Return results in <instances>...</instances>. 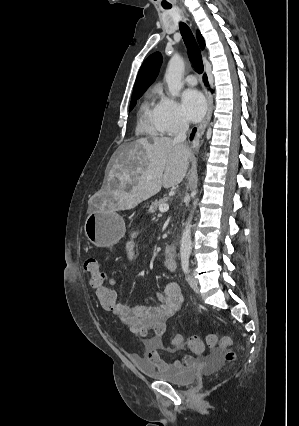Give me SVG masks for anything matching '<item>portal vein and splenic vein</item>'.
<instances>
[{
  "label": "portal vein and splenic vein",
  "mask_w": 299,
  "mask_h": 426,
  "mask_svg": "<svg viewBox=\"0 0 299 426\" xmlns=\"http://www.w3.org/2000/svg\"><path fill=\"white\" fill-rule=\"evenodd\" d=\"M169 210V205L167 203H162L159 205V211L161 213L166 212Z\"/></svg>",
  "instance_id": "18ae733b"
}]
</instances>
